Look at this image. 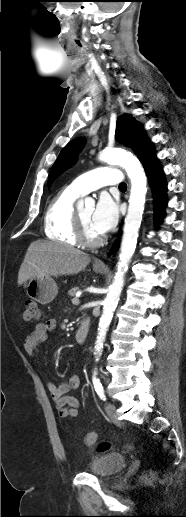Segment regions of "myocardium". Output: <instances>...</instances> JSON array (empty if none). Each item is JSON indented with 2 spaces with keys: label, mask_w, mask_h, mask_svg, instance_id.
I'll use <instances>...</instances> for the list:
<instances>
[{
  "label": "myocardium",
  "mask_w": 186,
  "mask_h": 517,
  "mask_svg": "<svg viewBox=\"0 0 186 517\" xmlns=\"http://www.w3.org/2000/svg\"><path fill=\"white\" fill-rule=\"evenodd\" d=\"M75 226H76V238L79 243H81L85 246L94 247V246L100 245L103 242L102 236L94 237V236H91L88 234V232L85 228V225L81 219V216L78 212H76V215H75Z\"/></svg>",
  "instance_id": "1"
}]
</instances>
